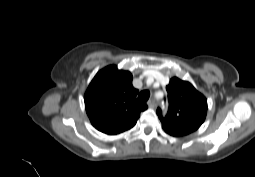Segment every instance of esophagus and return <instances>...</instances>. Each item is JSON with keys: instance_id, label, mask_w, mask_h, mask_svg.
I'll use <instances>...</instances> for the list:
<instances>
[{"instance_id": "34e87169", "label": "esophagus", "mask_w": 255, "mask_h": 177, "mask_svg": "<svg viewBox=\"0 0 255 177\" xmlns=\"http://www.w3.org/2000/svg\"><path fill=\"white\" fill-rule=\"evenodd\" d=\"M147 104H148V106H149L150 108H154V107L156 106V101L153 100V99H151V100L148 101Z\"/></svg>"}]
</instances>
